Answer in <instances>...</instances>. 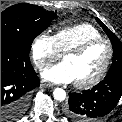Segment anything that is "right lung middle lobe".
Instances as JSON below:
<instances>
[{
    "instance_id": "right-lung-middle-lobe-1",
    "label": "right lung middle lobe",
    "mask_w": 122,
    "mask_h": 122,
    "mask_svg": "<svg viewBox=\"0 0 122 122\" xmlns=\"http://www.w3.org/2000/svg\"><path fill=\"white\" fill-rule=\"evenodd\" d=\"M56 12L45 11L37 5H13L1 13V42L8 41L29 50L35 37L48 28Z\"/></svg>"
}]
</instances>
